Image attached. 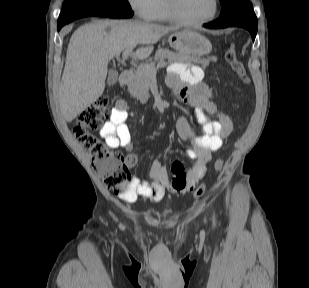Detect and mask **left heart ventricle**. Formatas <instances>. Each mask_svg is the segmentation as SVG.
Returning <instances> with one entry per match:
<instances>
[{
  "mask_svg": "<svg viewBox=\"0 0 309 288\" xmlns=\"http://www.w3.org/2000/svg\"><path fill=\"white\" fill-rule=\"evenodd\" d=\"M180 14L188 20H201L213 10V0H177Z\"/></svg>",
  "mask_w": 309,
  "mask_h": 288,
  "instance_id": "b2bd125f",
  "label": "left heart ventricle"
}]
</instances>
